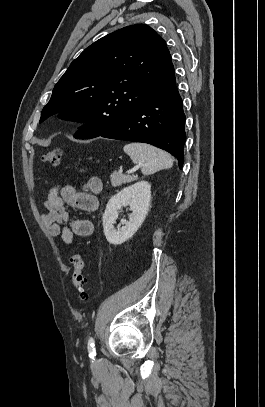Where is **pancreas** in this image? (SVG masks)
Here are the masks:
<instances>
[{"mask_svg":"<svg viewBox=\"0 0 265 407\" xmlns=\"http://www.w3.org/2000/svg\"><path fill=\"white\" fill-rule=\"evenodd\" d=\"M110 178L113 187H118L122 184L130 183L137 180L136 176L124 175L117 172L111 173Z\"/></svg>","mask_w":265,"mask_h":407,"instance_id":"obj_1","label":"pancreas"}]
</instances>
